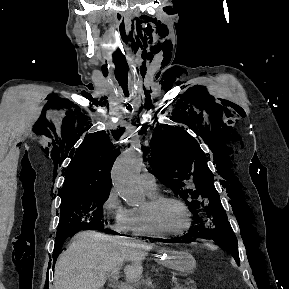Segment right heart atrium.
Masks as SVG:
<instances>
[{
	"label": "right heart atrium",
	"mask_w": 289,
	"mask_h": 289,
	"mask_svg": "<svg viewBox=\"0 0 289 289\" xmlns=\"http://www.w3.org/2000/svg\"><path fill=\"white\" fill-rule=\"evenodd\" d=\"M104 217L110 222V228L117 233L131 231V215L120 199L117 191L112 188L102 203Z\"/></svg>",
	"instance_id": "d8ad5b80"
}]
</instances>
